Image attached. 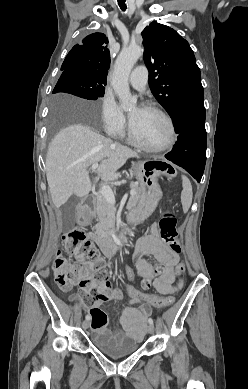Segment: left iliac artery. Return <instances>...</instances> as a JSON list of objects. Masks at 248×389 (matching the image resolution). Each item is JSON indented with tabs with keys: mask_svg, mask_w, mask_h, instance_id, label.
<instances>
[{
	"mask_svg": "<svg viewBox=\"0 0 248 389\" xmlns=\"http://www.w3.org/2000/svg\"><path fill=\"white\" fill-rule=\"evenodd\" d=\"M148 322H149V324L153 325V319L152 318H149Z\"/></svg>",
	"mask_w": 248,
	"mask_h": 389,
	"instance_id": "obj_1",
	"label": "left iliac artery"
}]
</instances>
